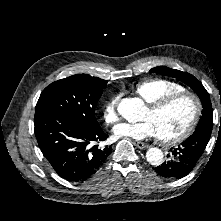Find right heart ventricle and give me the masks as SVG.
I'll use <instances>...</instances> for the list:
<instances>
[{
    "label": "right heart ventricle",
    "mask_w": 221,
    "mask_h": 221,
    "mask_svg": "<svg viewBox=\"0 0 221 221\" xmlns=\"http://www.w3.org/2000/svg\"><path fill=\"white\" fill-rule=\"evenodd\" d=\"M134 91L144 101L152 103L165 95L185 91V88L168 79L154 78L139 82Z\"/></svg>",
    "instance_id": "e07e8e85"
}]
</instances>
